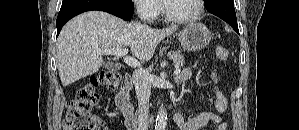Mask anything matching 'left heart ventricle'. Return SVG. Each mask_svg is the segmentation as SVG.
<instances>
[{
    "label": "left heart ventricle",
    "mask_w": 299,
    "mask_h": 130,
    "mask_svg": "<svg viewBox=\"0 0 299 130\" xmlns=\"http://www.w3.org/2000/svg\"><path fill=\"white\" fill-rule=\"evenodd\" d=\"M196 0H172L168 2V10L173 16H187L195 12Z\"/></svg>",
    "instance_id": "b2bd125f"
}]
</instances>
